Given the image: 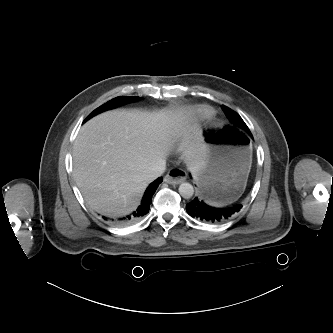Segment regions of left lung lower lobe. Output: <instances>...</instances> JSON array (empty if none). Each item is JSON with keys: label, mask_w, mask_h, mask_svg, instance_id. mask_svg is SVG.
Segmentation results:
<instances>
[{"label": "left lung lower lobe", "mask_w": 333, "mask_h": 333, "mask_svg": "<svg viewBox=\"0 0 333 333\" xmlns=\"http://www.w3.org/2000/svg\"><path fill=\"white\" fill-rule=\"evenodd\" d=\"M241 208V204L231 207L215 208L208 206L198 198H195L186 205V211L190 216L209 223H219L228 220L239 212Z\"/></svg>", "instance_id": "0a47b994"}]
</instances>
